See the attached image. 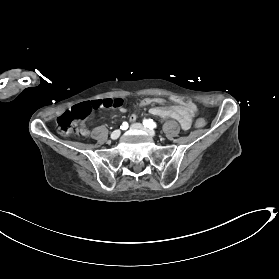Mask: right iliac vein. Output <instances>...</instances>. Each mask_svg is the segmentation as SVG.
I'll return each mask as SVG.
<instances>
[{"mask_svg":"<svg viewBox=\"0 0 279 279\" xmlns=\"http://www.w3.org/2000/svg\"><path fill=\"white\" fill-rule=\"evenodd\" d=\"M120 134H121V131H120V130H115V131H113V132L111 133V139L115 140V139L119 138Z\"/></svg>","mask_w":279,"mask_h":279,"instance_id":"obj_1","label":"right iliac vein"}]
</instances>
